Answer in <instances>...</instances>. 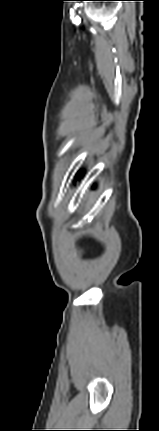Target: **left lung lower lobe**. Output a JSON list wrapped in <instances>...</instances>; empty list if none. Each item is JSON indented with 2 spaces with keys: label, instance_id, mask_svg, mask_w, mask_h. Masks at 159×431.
<instances>
[{
  "label": "left lung lower lobe",
  "instance_id": "0a47b994",
  "mask_svg": "<svg viewBox=\"0 0 159 431\" xmlns=\"http://www.w3.org/2000/svg\"><path fill=\"white\" fill-rule=\"evenodd\" d=\"M80 176H82V172H80V173L77 175V177H80Z\"/></svg>",
  "mask_w": 159,
  "mask_h": 431
}]
</instances>
